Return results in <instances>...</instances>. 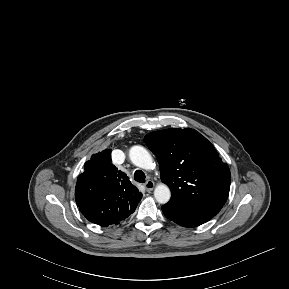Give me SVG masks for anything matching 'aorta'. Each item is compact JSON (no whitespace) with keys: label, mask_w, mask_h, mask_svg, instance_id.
<instances>
[{"label":"aorta","mask_w":289,"mask_h":289,"mask_svg":"<svg viewBox=\"0 0 289 289\" xmlns=\"http://www.w3.org/2000/svg\"><path fill=\"white\" fill-rule=\"evenodd\" d=\"M129 157L132 163L140 168L149 170L153 165L152 156L142 146H132L129 150ZM154 197L158 203L165 204L171 197L170 189L165 184H159L154 189Z\"/></svg>","instance_id":"1"}]
</instances>
